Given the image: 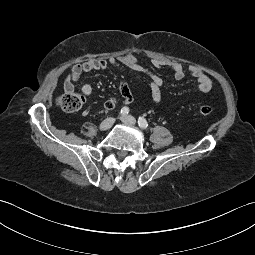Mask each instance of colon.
Returning a JSON list of instances; mask_svg holds the SVG:
<instances>
[{
    "label": "colon",
    "instance_id": "obj_1",
    "mask_svg": "<svg viewBox=\"0 0 255 255\" xmlns=\"http://www.w3.org/2000/svg\"><path fill=\"white\" fill-rule=\"evenodd\" d=\"M58 106L66 112H75L82 109L85 104V98L75 91L73 88H65L63 94L57 99ZM198 112L203 116H210L213 114L214 109L210 105H201Z\"/></svg>",
    "mask_w": 255,
    "mask_h": 255
}]
</instances>
